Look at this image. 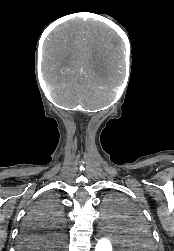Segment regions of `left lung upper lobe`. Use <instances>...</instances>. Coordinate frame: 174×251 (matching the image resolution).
Here are the masks:
<instances>
[{
    "instance_id": "5c2ea615",
    "label": "left lung upper lobe",
    "mask_w": 174,
    "mask_h": 251,
    "mask_svg": "<svg viewBox=\"0 0 174 251\" xmlns=\"http://www.w3.org/2000/svg\"><path fill=\"white\" fill-rule=\"evenodd\" d=\"M106 203L111 214L109 218L124 220L132 247L136 251H153L151 232L139 212L119 196L108 198Z\"/></svg>"
}]
</instances>
